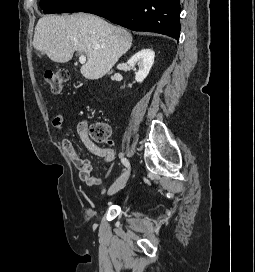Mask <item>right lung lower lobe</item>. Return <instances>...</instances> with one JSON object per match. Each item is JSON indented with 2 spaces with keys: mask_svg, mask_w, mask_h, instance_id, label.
<instances>
[{
  "mask_svg": "<svg viewBox=\"0 0 255 272\" xmlns=\"http://www.w3.org/2000/svg\"><path fill=\"white\" fill-rule=\"evenodd\" d=\"M180 0H97L81 12L92 13L135 31L179 39Z\"/></svg>",
  "mask_w": 255,
  "mask_h": 272,
  "instance_id": "1",
  "label": "right lung lower lobe"
}]
</instances>
